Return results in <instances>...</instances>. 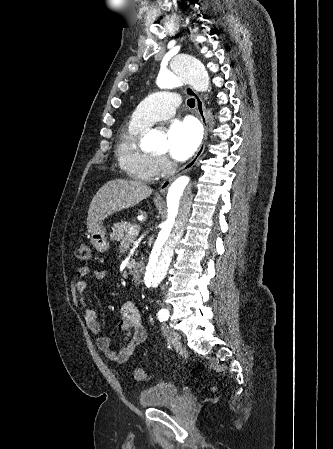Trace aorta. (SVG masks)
Here are the masks:
<instances>
[{
    "label": "aorta",
    "mask_w": 333,
    "mask_h": 449,
    "mask_svg": "<svg viewBox=\"0 0 333 449\" xmlns=\"http://www.w3.org/2000/svg\"><path fill=\"white\" fill-rule=\"evenodd\" d=\"M169 69L159 73L157 83L161 88H173L190 85L200 92L209 89V75L204 64L189 55L175 56L168 62ZM147 145L164 151L167 142L159 133L150 131L145 136ZM196 181L193 177L181 176L170 185L167 193L168 217L158 231L153 244L144 281L147 287H156L164 279L172 261L176 243L184 232L195 191Z\"/></svg>",
    "instance_id": "aorta-1"
}]
</instances>
